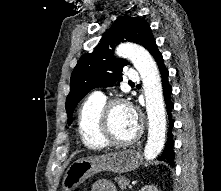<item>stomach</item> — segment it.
I'll return each mask as SVG.
<instances>
[{"instance_id":"0dacf381","label":"stomach","mask_w":221,"mask_h":191,"mask_svg":"<svg viewBox=\"0 0 221 191\" xmlns=\"http://www.w3.org/2000/svg\"><path fill=\"white\" fill-rule=\"evenodd\" d=\"M140 165V157L135 150L127 149L102 156L81 158L67 169L63 182V191H73L87 178L102 172L126 173Z\"/></svg>"}]
</instances>
